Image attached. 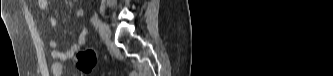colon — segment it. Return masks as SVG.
Segmentation results:
<instances>
[{"mask_svg": "<svg viewBox=\"0 0 333 76\" xmlns=\"http://www.w3.org/2000/svg\"><path fill=\"white\" fill-rule=\"evenodd\" d=\"M96 61V53L91 49L79 52L75 58L76 67L83 74L91 73L96 65ZM131 75L138 76L139 74L136 72H132Z\"/></svg>", "mask_w": 333, "mask_h": 76, "instance_id": "colon-1", "label": "colon"}]
</instances>
